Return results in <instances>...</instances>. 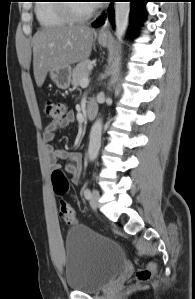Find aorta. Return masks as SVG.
Segmentation results:
<instances>
[{"mask_svg": "<svg viewBox=\"0 0 195 299\" xmlns=\"http://www.w3.org/2000/svg\"><path fill=\"white\" fill-rule=\"evenodd\" d=\"M130 12V2H116L115 3V35L118 40V46L123 42L124 35L128 25ZM118 59L113 65L112 77H115L117 71ZM114 81L112 79L111 84ZM102 119H97L90 132V141L88 148V157L91 161L95 160L100 146H101V134H102Z\"/></svg>", "mask_w": 195, "mask_h": 299, "instance_id": "obj_1", "label": "aorta"}]
</instances>
